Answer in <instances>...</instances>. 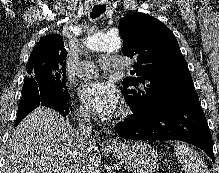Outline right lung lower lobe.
Returning a JSON list of instances; mask_svg holds the SVG:
<instances>
[{
    "label": "right lung lower lobe",
    "instance_id": "right-lung-lower-lobe-1",
    "mask_svg": "<svg viewBox=\"0 0 219 173\" xmlns=\"http://www.w3.org/2000/svg\"><path fill=\"white\" fill-rule=\"evenodd\" d=\"M40 104L55 109L64 117L69 112L68 101L61 100L53 91L41 88L37 91L28 92L22 95L21 101L18 105V115L14 127H16L25 116Z\"/></svg>",
    "mask_w": 219,
    "mask_h": 173
}]
</instances>
